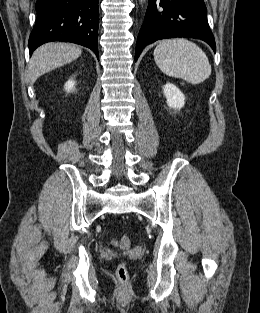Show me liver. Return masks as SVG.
Returning <instances> with one entry per match:
<instances>
[{
	"label": "liver",
	"instance_id": "liver-1",
	"mask_svg": "<svg viewBox=\"0 0 260 313\" xmlns=\"http://www.w3.org/2000/svg\"><path fill=\"white\" fill-rule=\"evenodd\" d=\"M81 53V48L71 43L53 42L40 46L29 63L30 82L34 83L41 75L72 62Z\"/></svg>",
	"mask_w": 260,
	"mask_h": 313
}]
</instances>
